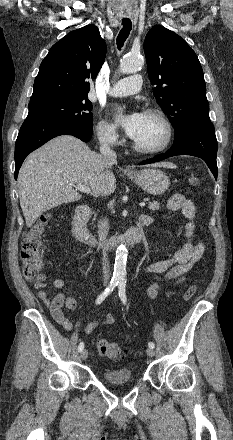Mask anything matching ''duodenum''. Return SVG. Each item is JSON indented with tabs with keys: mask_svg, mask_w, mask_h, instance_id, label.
Returning a JSON list of instances; mask_svg holds the SVG:
<instances>
[{
	"mask_svg": "<svg viewBox=\"0 0 233 440\" xmlns=\"http://www.w3.org/2000/svg\"><path fill=\"white\" fill-rule=\"evenodd\" d=\"M90 214L91 209L89 207L79 206L75 209L72 221V231L76 239L90 246H97L101 244L109 247H116L121 244L135 246L142 240L145 228L151 224V219L149 217L140 216L136 224L128 229L124 235L110 239L108 242L101 243L89 232L87 228V221Z\"/></svg>",
	"mask_w": 233,
	"mask_h": 440,
	"instance_id": "duodenum-1",
	"label": "duodenum"
}]
</instances>
